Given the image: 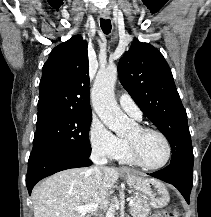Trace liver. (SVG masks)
<instances>
[{
	"label": "liver",
	"instance_id": "1",
	"mask_svg": "<svg viewBox=\"0 0 211 217\" xmlns=\"http://www.w3.org/2000/svg\"><path fill=\"white\" fill-rule=\"evenodd\" d=\"M118 178L116 169L103 168L102 184L98 189L91 169L58 172L33 189L34 217H91V212L79 213L75 209L85 205L105 207L108 192Z\"/></svg>",
	"mask_w": 211,
	"mask_h": 217
}]
</instances>
